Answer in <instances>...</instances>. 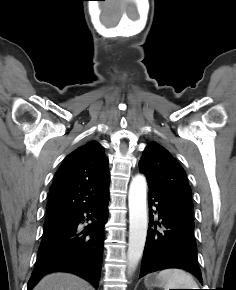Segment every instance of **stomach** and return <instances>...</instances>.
<instances>
[{
  "mask_svg": "<svg viewBox=\"0 0 236 290\" xmlns=\"http://www.w3.org/2000/svg\"><path fill=\"white\" fill-rule=\"evenodd\" d=\"M146 287L148 288H152V287H158L160 285H162V281L160 279H158L157 275L155 274H150L145 278L144 281Z\"/></svg>",
  "mask_w": 236,
  "mask_h": 290,
  "instance_id": "1",
  "label": "stomach"
}]
</instances>
